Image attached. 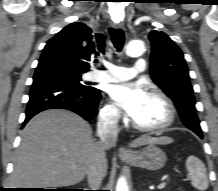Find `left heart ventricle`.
<instances>
[{
	"label": "left heart ventricle",
	"mask_w": 218,
	"mask_h": 191,
	"mask_svg": "<svg viewBox=\"0 0 218 191\" xmlns=\"http://www.w3.org/2000/svg\"><path fill=\"white\" fill-rule=\"evenodd\" d=\"M168 117V110L164 102L149 95L134 121L142 126H158Z\"/></svg>",
	"instance_id": "obj_1"
}]
</instances>
